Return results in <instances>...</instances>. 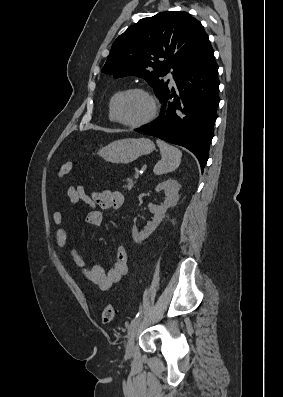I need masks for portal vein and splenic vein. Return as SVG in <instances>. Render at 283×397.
I'll use <instances>...</instances> for the list:
<instances>
[{
  "label": "portal vein and splenic vein",
  "instance_id": "portal-vein-and-splenic-vein-1",
  "mask_svg": "<svg viewBox=\"0 0 283 397\" xmlns=\"http://www.w3.org/2000/svg\"><path fill=\"white\" fill-rule=\"evenodd\" d=\"M134 177H135L136 179H138V178H139V173L136 172V173L134 174Z\"/></svg>",
  "mask_w": 283,
  "mask_h": 397
}]
</instances>
